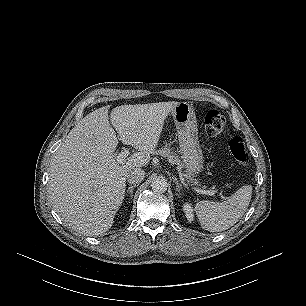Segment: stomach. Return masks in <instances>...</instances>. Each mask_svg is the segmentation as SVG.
Listing matches in <instances>:
<instances>
[{"label": "stomach", "instance_id": "stomach-1", "mask_svg": "<svg viewBox=\"0 0 306 306\" xmlns=\"http://www.w3.org/2000/svg\"><path fill=\"white\" fill-rule=\"evenodd\" d=\"M170 113L176 125L183 163L192 176H197L203 169V155L194 108L189 103L179 102Z\"/></svg>", "mask_w": 306, "mask_h": 306}]
</instances>
